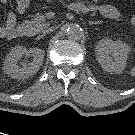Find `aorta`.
<instances>
[{"label": "aorta", "instance_id": "762f6f07", "mask_svg": "<svg viewBox=\"0 0 135 135\" xmlns=\"http://www.w3.org/2000/svg\"><path fill=\"white\" fill-rule=\"evenodd\" d=\"M66 36L70 40H79L82 37V28L78 24H69L66 26Z\"/></svg>", "mask_w": 135, "mask_h": 135}]
</instances>
